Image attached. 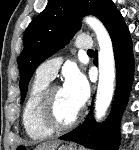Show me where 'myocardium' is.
Instances as JSON below:
<instances>
[{"label":"myocardium","instance_id":"1","mask_svg":"<svg viewBox=\"0 0 139 150\" xmlns=\"http://www.w3.org/2000/svg\"><path fill=\"white\" fill-rule=\"evenodd\" d=\"M59 88H61V86L57 84L49 85L42 95L38 109V116L41 124L52 132L65 131L75 127L83 116V111L80 109L73 120L68 123L63 124L55 119L53 114V98L54 93Z\"/></svg>","mask_w":139,"mask_h":150}]
</instances>
